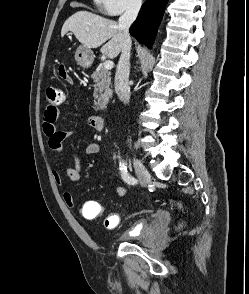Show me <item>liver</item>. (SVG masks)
<instances>
[{
    "mask_svg": "<svg viewBox=\"0 0 249 294\" xmlns=\"http://www.w3.org/2000/svg\"><path fill=\"white\" fill-rule=\"evenodd\" d=\"M68 31L87 48H97L105 43L101 52L110 58H115L122 51L123 34L113 20L88 11H78L65 21L61 36Z\"/></svg>",
    "mask_w": 249,
    "mask_h": 294,
    "instance_id": "1",
    "label": "liver"
}]
</instances>
